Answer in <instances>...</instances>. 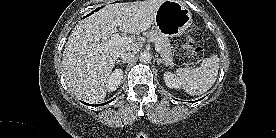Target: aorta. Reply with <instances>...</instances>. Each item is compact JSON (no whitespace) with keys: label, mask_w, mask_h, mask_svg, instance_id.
<instances>
[{"label":"aorta","mask_w":276,"mask_h":138,"mask_svg":"<svg viewBox=\"0 0 276 138\" xmlns=\"http://www.w3.org/2000/svg\"><path fill=\"white\" fill-rule=\"evenodd\" d=\"M152 59L151 53L149 51H143L139 55V60L141 63H149Z\"/></svg>","instance_id":"obj_1"}]
</instances>
